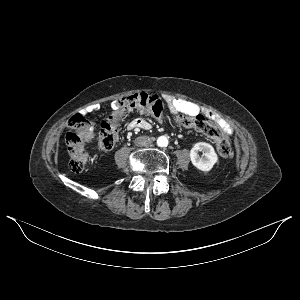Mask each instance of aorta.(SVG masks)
<instances>
[{"label":"aorta","mask_w":300,"mask_h":300,"mask_svg":"<svg viewBox=\"0 0 300 300\" xmlns=\"http://www.w3.org/2000/svg\"><path fill=\"white\" fill-rule=\"evenodd\" d=\"M168 143H169V141H168L167 137H165V136H160L157 139V145L159 147H166V146H168Z\"/></svg>","instance_id":"762f6f07"}]
</instances>
